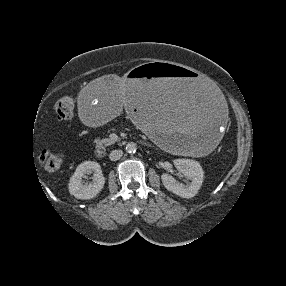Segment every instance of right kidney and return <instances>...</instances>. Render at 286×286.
I'll list each match as a JSON object with an SVG mask.
<instances>
[{
	"label": "right kidney",
	"instance_id": "right-kidney-1",
	"mask_svg": "<svg viewBox=\"0 0 286 286\" xmlns=\"http://www.w3.org/2000/svg\"><path fill=\"white\" fill-rule=\"evenodd\" d=\"M93 174V180L90 183H83L82 178L86 174ZM105 178L102 174L101 166L95 161H84L79 164L71 176L68 188L71 195L77 199L87 200L96 197L103 189Z\"/></svg>",
	"mask_w": 286,
	"mask_h": 286
}]
</instances>
